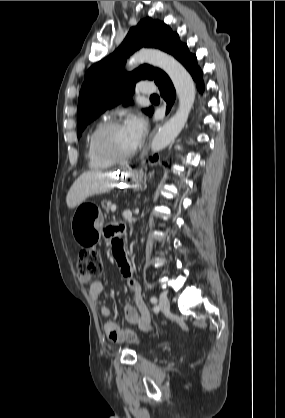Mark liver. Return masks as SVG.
I'll return each instance as SVG.
<instances>
[{
	"instance_id": "6515ba94",
	"label": "liver",
	"mask_w": 285,
	"mask_h": 418,
	"mask_svg": "<svg viewBox=\"0 0 285 418\" xmlns=\"http://www.w3.org/2000/svg\"><path fill=\"white\" fill-rule=\"evenodd\" d=\"M115 174L112 172L87 171L73 183L66 196L69 209L80 205L87 197L104 193L114 187Z\"/></svg>"
}]
</instances>
